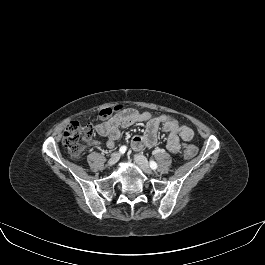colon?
Listing matches in <instances>:
<instances>
[{
    "label": "colon",
    "mask_w": 265,
    "mask_h": 265,
    "mask_svg": "<svg viewBox=\"0 0 265 265\" xmlns=\"http://www.w3.org/2000/svg\"><path fill=\"white\" fill-rule=\"evenodd\" d=\"M123 110L121 105L114 108H105L100 111L99 115L102 119L109 118L114 112ZM96 137L95 129L91 125H82L78 121H73L64 132L63 146L74 159L82 157L85 149L91 145ZM183 154L186 159L196 156L197 148L192 145H186L183 148Z\"/></svg>",
    "instance_id": "obj_1"
}]
</instances>
